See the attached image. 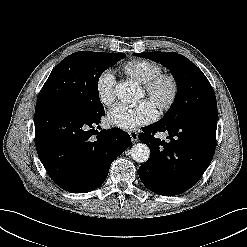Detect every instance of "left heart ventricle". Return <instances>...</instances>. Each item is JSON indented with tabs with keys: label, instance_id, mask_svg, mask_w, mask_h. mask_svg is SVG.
<instances>
[{
	"label": "left heart ventricle",
	"instance_id": "b2bd125f",
	"mask_svg": "<svg viewBox=\"0 0 247 247\" xmlns=\"http://www.w3.org/2000/svg\"><path fill=\"white\" fill-rule=\"evenodd\" d=\"M170 93V85L168 83H163L157 90L154 98H148L149 101L157 108L160 101L167 98ZM144 90L142 91L141 98L145 97Z\"/></svg>",
	"mask_w": 247,
	"mask_h": 247
}]
</instances>
